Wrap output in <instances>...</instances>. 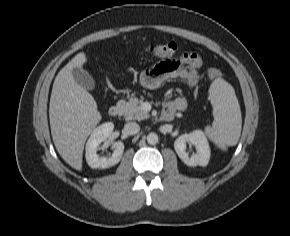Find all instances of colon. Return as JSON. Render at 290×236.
<instances>
[{"instance_id": "1", "label": "colon", "mask_w": 290, "mask_h": 236, "mask_svg": "<svg viewBox=\"0 0 290 236\" xmlns=\"http://www.w3.org/2000/svg\"><path fill=\"white\" fill-rule=\"evenodd\" d=\"M178 45L175 42H167L158 45H150L146 48V52L156 58H169L176 54ZM207 75L211 79H217L222 76V71L218 68H210Z\"/></svg>"}]
</instances>
